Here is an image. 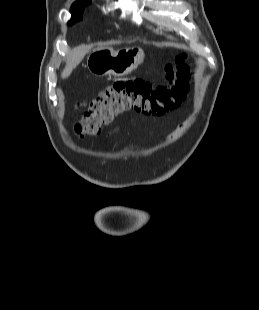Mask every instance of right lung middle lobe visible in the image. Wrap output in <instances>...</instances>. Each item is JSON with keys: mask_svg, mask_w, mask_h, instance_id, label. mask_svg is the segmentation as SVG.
Masks as SVG:
<instances>
[{"mask_svg": "<svg viewBox=\"0 0 259 310\" xmlns=\"http://www.w3.org/2000/svg\"><path fill=\"white\" fill-rule=\"evenodd\" d=\"M88 4H90V2L83 3L81 5H78L76 8L71 9L72 18L69 21V25H72L73 23L82 19L84 7L87 6Z\"/></svg>", "mask_w": 259, "mask_h": 310, "instance_id": "obj_1", "label": "right lung middle lobe"}]
</instances>
